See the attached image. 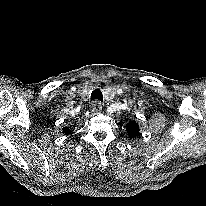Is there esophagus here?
Returning a JSON list of instances; mask_svg holds the SVG:
<instances>
[{
	"mask_svg": "<svg viewBox=\"0 0 206 206\" xmlns=\"http://www.w3.org/2000/svg\"><path fill=\"white\" fill-rule=\"evenodd\" d=\"M102 104H101V102H99V101H95L93 104H92V112L94 113V114H98V113H100L101 111H102Z\"/></svg>",
	"mask_w": 206,
	"mask_h": 206,
	"instance_id": "obj_1",
	"label": "esophagus"
}]
</instances>
